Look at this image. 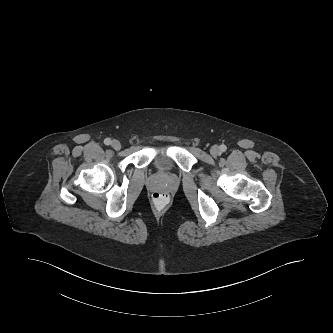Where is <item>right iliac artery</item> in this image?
Here are the masks:
<instances>
[{"label":"right iliac artery","instance_id":"obj_1","mask_svg":"<svg viewBox=\"0 0 333 333\" xmlns=\"http://www.w3.org/2000/svg\"><path fill=\"white\" fill-rule=\"evenodd\" d=\"M104 143H105V145H110L111 144V140L109 138H106L104 140Z\"/></svg>","mask_w":333,"mask_h":333}]
</instances>
